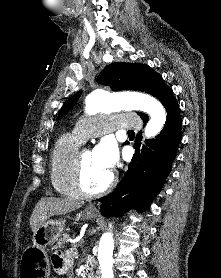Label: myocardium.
I'll list each match as a JSON object with an SVG mask.
<instances>
[{
	"label": "myocardium",
	"instance_id": "obj_1",
	"mask_svg": "<svg viewBox=\"0 0 221 278\" xmlns=\"http://www.w3.org/2000/svg\"><path fill=\"white\" fill-rule=\"evenodd\" d=\"M88 151V149H81L77 151L71 167V184L79 197L91 199L104 195L110 191L114 187L117 177L114 172H111L108 182L101 189L96 191L88 190L82 179L83 158L84 154Z\"/></svg>",
	"mask_w": 221,
	"mask_h": 278
}]
</instances>
